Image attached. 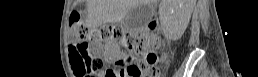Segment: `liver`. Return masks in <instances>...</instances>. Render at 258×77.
Returning a JSON list of instances; mask_svg holds the SVG:
<instances>
[{
	"label": "liver",
	"mask_w": 258,
	"mask_h": 77,
	"mask_svg": "<svg viewBox=\"0 0 258 77\" xmlns=\"http://www.w3.org/2000/svg\"><path fill=\"white\" fill-rule=\"evenodd\" d=\"M195 0H162L161 6L167 3L177 9L179 4H184L181 11V23L187 25ZM157 0H88L87 23L91 27H99L105 23H118L122 21L128 12L139 5H155Z\"/></svg>",
	"instance_id": "1"
}]
</instances>
